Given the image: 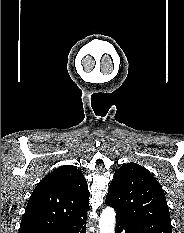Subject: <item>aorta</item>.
Wrapping results in <instances>:
<instances>
[{
  "label": "aorta",
  "instance_id": "obj_1",
  "mask_svg": "<svg viewBox=\"0 0 184 233\" xmlns=\"http://www.w3.org/2000/svg\"><path fill=\"white\" fill-rule=\"evenodd\" d=\"M115 211L113 208L106 207L99 219V233H114L115 229Z\"/></svg>",
  "mask_w": 184,
  "mask_h": 233
}]
</instances>
